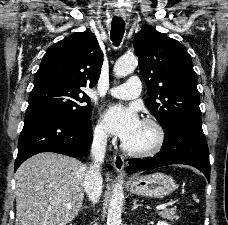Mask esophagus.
Listing matches in <instances>:
<instances>
[{
	"instance_id": "1",
	"label": "esophagus",
	"mask_w": 228,
	"mask_h": 225,
	"mask_svg": "<svg viewBox=\"0 0 228 225\" xmlns=\"http://www.w3.org/2000/svg\"><path fill=\"white\" fill-rule=\"evenodd\" d=\"M119 16H122V15H119ZM113 162H114V167H115L116 172L119 175H125L124 157L122 155L116 154L114 156Z\"/></svg>"
}]
</instances>
